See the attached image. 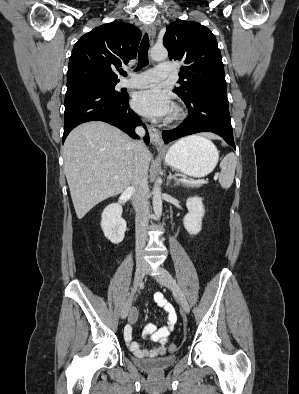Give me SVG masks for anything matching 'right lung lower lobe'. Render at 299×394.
<instances>
[{
    "label": "right lung lower lobe",
    "instance_id": "1",
    "mask_svg": "<svg viewBox=\"0 0 299 394\" xmlns=\"http://www.w3.org/2000/svg\"><path fill=\"white\" fill-rule=\"evenodd\" d=\"M127 94L107 86H83L67 89L65 95V124L63 141L69 132L81 123L104 121L114 125L133 138L135 126L142 124L130 109ZM149 143L148 132L144 138Z\"/></svg>",
    "mask_w": 299,
    "mask_h": 394
}]
</instances>
